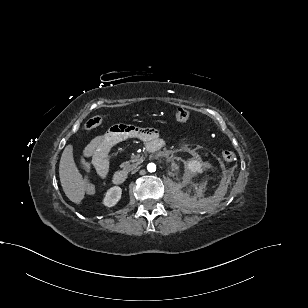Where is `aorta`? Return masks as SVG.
Here are the masks:
<instances>
[{"label": "aorta", "instance_id": "obj_1", "mask_svg": "<svg viewBox=\"0 0 308 308\" xmlns=\"http://www.w3.org/2000/svg\"><path fill=\"white\" fill-rule=\"evenodd\" d=\"M147 170H148L149 172H154V171L156 170V165H155L154 163H149V164L147 165Z\"/></svg>", "mask_w": 308, "mask_h": 308}]
</instances>
